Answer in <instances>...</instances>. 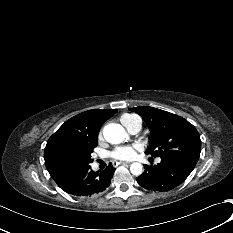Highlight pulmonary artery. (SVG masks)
<instances>
[{
    "label": "pulmonary artery",
    "instance_id": "1",
    "mask_svg": "<svg viewBox=\"0 0 233 233\" xmlns=\"http://www.w3.org/2000/svg\"><path fill=\"white\" fill-rule=\"evenodd\" d=\"M140 129H141V120L137 119L128 130L130 133L136 134L140 131ZM157 162H160V159H158Z\"/></svg>",
    "mask_w": 233,
    "mask_h": 233
}]
</instances>
